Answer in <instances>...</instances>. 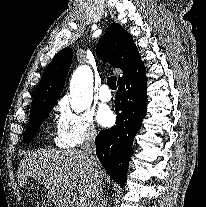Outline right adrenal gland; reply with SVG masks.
<instances>
[{
  "label": "right adrenal gland",
  "mask_w": 206,
  "mask_h": 207,
  "mask_svg": "<svg viewBox=\"0 0 206 207\" xmlns=\"http://www.w3.org/2000/svg\"><path fill=\"white\" fill-rule=\"evenodd\" d=\"M107 202H108V197L107 196L106 197L104 196L103 199H102V207H106Z\"/></svg>",
  "instance_id": "obj_1"
}]
</instances>
